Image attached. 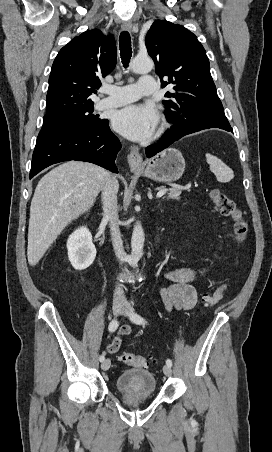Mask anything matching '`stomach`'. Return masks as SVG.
<instances>
[{
  "label": "stomach",
  "instance_id": "1",
  "mask_svg": "<svg viewBox=\"0 0 272 452\" xmlns=\"http://www.w3.org/2000/svg\"><path fill=\"white\" fill-rule=\"evenodd\" d=\"M185 170V160L180 151L174 148L163 150L147 162L146 168L139 171L144 176L160 182L178 180Z\"/></svg>",
  "mask_w": 272,
  "mask_h": 452
}]
</instances>
